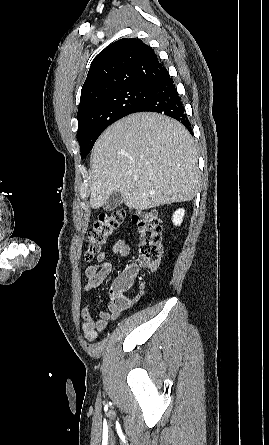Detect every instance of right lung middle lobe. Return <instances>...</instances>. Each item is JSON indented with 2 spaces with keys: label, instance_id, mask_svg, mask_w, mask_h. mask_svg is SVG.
<instances>
[{
  "label": "right lung middle lobe",
  "instance_id": "right-lung-middle-lobe-1",
  "mask_svg": "<svg viewBox=\"0 0 269 445\" xmlns=\"http://www.w3.org/2000/svg\"><path fill=\"white\" fill-rule=\"evenodd\" d=\"M152 91L150 85L124 86L94 98L78 109L77 137L81 158L89 154L99 135L109 125L133 113L150 98Z\"/></svg>",
  "mask_w": 269,
  "mask_h": 445
}]
</instances>
